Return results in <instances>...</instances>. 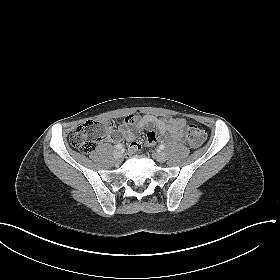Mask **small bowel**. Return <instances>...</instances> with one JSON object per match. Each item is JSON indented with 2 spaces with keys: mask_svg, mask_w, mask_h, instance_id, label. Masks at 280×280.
<instances>
[{
  "mask_svg": "<svg viewBox=\"0 0 280 280\" xmlns=\"http://www.w3.org/2000/svg\"><path fill=\"white\" fill-rule=\"evenodd\" d=\"M131 120L126 121L119 129L118 133L113 136V140L120 139L127 140L130 144L128 146V153L134 154L141 145L135 142L136 135L139 130L145 127H154L161 135H168L176 140H180L184 136L185 128L187 126L186 120L182 118H158L154 115H144L140 118L135 116L129 117ZM134 126L135 129H132ZM154 130H149L145 135V144L147 146H154L158 142V135Z\"/></svg>",
  "mask_w": 280,
  "mask_h": 280,
  "instance_id": "1",
  "label": "small bowel"
}]
</instances>
